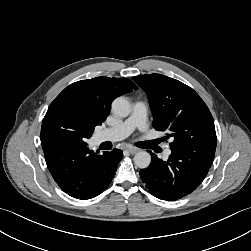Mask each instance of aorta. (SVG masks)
Listing matches in <instances>:
<instances>
[{"instance_id":"1","label":"aorta","mask_w":251,"mask_h":251,"mask_svg":"<svg viewBox=\"0 0 251 251\" xmlns=\"http://www.w3.org/2000/svg\"><path fill=\"white\" fill-rule=\"evenodd\" d=\"M111 106L112 112L119 117H127L131 112V105L125 97L116 98ZM134 163L137 167L145 169L151 163V155L146 151H140L135 154Z\"/></svg>"}]
</instances>
